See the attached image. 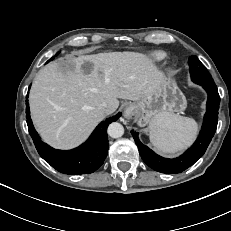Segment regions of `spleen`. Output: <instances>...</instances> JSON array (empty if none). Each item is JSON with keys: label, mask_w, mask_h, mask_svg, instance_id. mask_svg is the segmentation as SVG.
Listing matches in <instances>:
<instances>
[{"label": "spleen", "mask_w": 231, "mask_h": 231, "mask_svg": "<svg viewBox=\"0 0 231 231\" xmlns=\"http://www.w3.org/2000/svg\"><path fill=\"white\" fill-rule=\"evenodd\" d=\"M194 119L174 113H162L149 125L150 141L163 153H174L188 147L197 134Z\"/></svg>", "instance_id": "obj_1"}]
</instances>
